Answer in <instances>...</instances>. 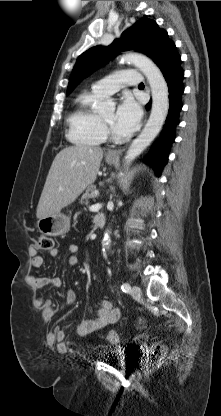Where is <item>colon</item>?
Instances as JSON below:
<instances>
[{"label": "colon", "mask_w": 221, "mask_h": 416, "mask_svg": "<svg viewBox=\"0 0 221 416\" xmlns=\"http://www.w3.org/2000/svg\"><path fill=\"white\" fill-rule=\"evenodd\" d=\"M39 247L42 250H52L54 248V239L48 235H42L39 238ZM145 325L144 320L140 319L138 321V327L143 328ZM106 339L109 342H116L118 340V335L116 331L110 330L106 334ZM165 354V349L162 345H156L150 354L149 361L150 363H156L163 358Z\"/></svg>", "instance_id": "1"}]
</instances>
